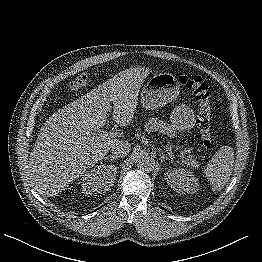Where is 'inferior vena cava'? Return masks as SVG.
<instances>
[{"label": "inferior vena cava", "instance_id": "obj_1", "mask_svg": "<svg viewBox=\"0 0 262 262\" xmlns=\"http://www.w3.org/2000/svg\"><path fill=\"white\" fill-rule=\"evenodd\" d=\"M111 150L116 158H123L129 154L131 145L128 141L118 140L112 145Z\"/></svg>", "mask_w": 262, "mask_h": 262}]
</instances>
